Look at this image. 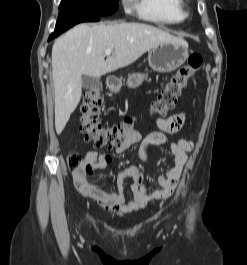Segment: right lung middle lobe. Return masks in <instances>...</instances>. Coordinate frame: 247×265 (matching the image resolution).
Listing matches in <instances>:
<instances>
[{
	"label": "right lung middle lobe",
	"mask_w": 247,
	"mask_h": 265,
	"mask_svg": "<svg viewBox=\"0 0 247 265\" xmlns=\"http://www.w3.org/2000/svg\"><path fill=\"white\" fill-rule=\"evenodd\" d=\"M118 9V0H61L58 19L73 16H106Z\"/></svg>",
	"instance_id": "dd1d6c3e"
}]
</instances>
